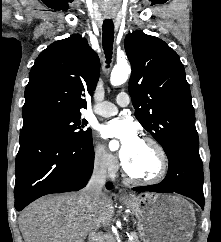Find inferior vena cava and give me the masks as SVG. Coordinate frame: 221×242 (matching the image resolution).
I'll use <instances>...</instances> for the list:
<instances>
[{"label": "inferior vena cava", "instance_id": "602c4592", "mask_svg": "<svg viewBox=\"0 0 221 242\" xmlns=\"http://www.w3.org/2000/svg\"><path fill=\"white\" fill-rule=\"evenodd\" d=\"M106 177L107 164L104 161L97 162L94 166L91 179L82 193L83 202L89 209L96 206L100 197L104 194L102 188L105 185Z\"/></svg>", "mask_w": 221, "mask_h": 242}]
</instances>
